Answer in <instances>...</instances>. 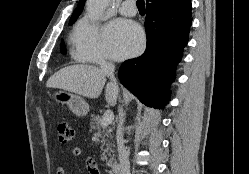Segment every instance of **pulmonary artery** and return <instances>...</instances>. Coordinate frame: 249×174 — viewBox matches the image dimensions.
Instances as JSON below:
<instances>
[{
	"mask_svg": "<svg viewBox=\"0 0 249 174\" xmlns=\"http://www.w3.org/2000/svg\"><path fill=\"white\" fill-rule=\"evenodd\" d=\"M120 13L126 16L136 15V5L134 0H126L119 7Z\"/></svg>",
	"mask_w": 249,
	"mask_h": 174,
	"instance_id": "1",
	"label": "pulmonary artery"
}]
</instances>
